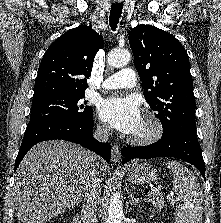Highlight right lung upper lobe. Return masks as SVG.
Here are the masks:
<instances>
[{"label": "right lung upper lobe", "mask_w": 221, "mask_h": 223, "mask_svg": "<svg viewBox=\"0 0 221 223\" xmlns=\"http://www.w3.org/2000/svg\"><path fill=\"white\" fill-rule=\"evenodd\" d=\"M103 46L102 36L86 25L56 39L39 66L33 101L85 93L94 57Z\"/></svg>", "instance_id": "obj_1"}]
</instances>
